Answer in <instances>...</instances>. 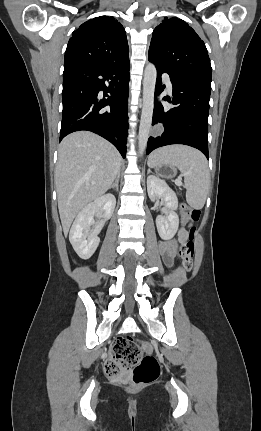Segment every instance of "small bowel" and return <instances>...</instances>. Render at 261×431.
<instances>
[{
    "label": "small bowel",
    "mask_w": 261,
    "mask_h": 431,
    "mask_svg": "<svg viewBox=\"0 0 261 431\" xmlns=\"http://www.w3.org/2000/svg\"><path fill=\"white\" fill-rule=\"evenodd\" d=\"M185 233L186 229L182 227L178 232L177 238L160 242L159 251L166 266L172 267L174 265L178 245L184 240Z\"/></svg>",
    "instance_id": "obj_1"
}]
</instances>
